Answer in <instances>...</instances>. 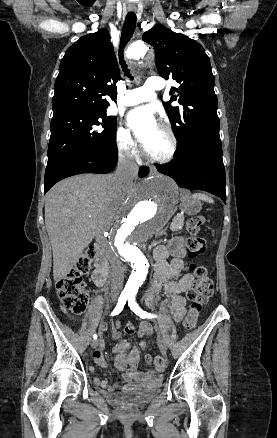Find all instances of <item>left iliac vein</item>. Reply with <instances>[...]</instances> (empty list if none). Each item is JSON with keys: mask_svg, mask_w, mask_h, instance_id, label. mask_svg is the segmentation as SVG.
Instances as JSON below:
<instances>
[{"mask_svg": "<svg viewBox=\"0 0 277 438\" xmlns=\"http://www.w3.org/2000/svg\"><path fill=\"white\" fill-rule=\"evenodd\" d=\"M160 346H161V349L163 350V351H166L167 350V342H166V340L165 339H161L160 340Z\"/></svg>", "mask_w": 277, "mask_h": 438, "instance_id": "left-iliac-vein-1", "label": "left iliac vein"}]
</instances>
